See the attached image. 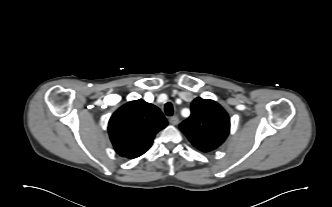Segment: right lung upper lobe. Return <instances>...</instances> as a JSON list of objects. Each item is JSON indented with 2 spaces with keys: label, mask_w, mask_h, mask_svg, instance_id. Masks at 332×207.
Returning a JSON list of instances; mask_svg holds the SVG:
<instances>
[{
  "label": "right lung upper lobe",
  "mask_w": 332,
  "mask_h": 207,
  "mask_svg": "<svg viewBox=\"0 0 332 207\" xmlns=\"http://www.w3.org/2000/svg\"><path fill=\"white\" fill-rule=\"evenodd\" d=\"M167 120L154 105L142 99L121 106L110 118L108 132L116 152L129 159L144 154Z\"/></svg>",
  "instance_id": "cb5924a9"
}]
</instances>
